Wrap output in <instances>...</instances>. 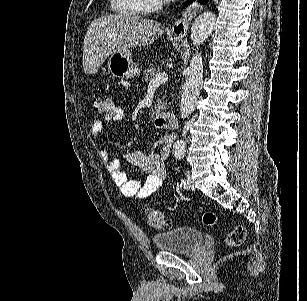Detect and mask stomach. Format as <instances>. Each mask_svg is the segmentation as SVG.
<instances>
[{
	"label": "stomach",
	"instance_id": "1",
	"mask_svg": "<svg viewBox=\"0 0 307 301\" xmlns=\"http://www.w3.org/2000/svg\"><path fill=\"white\" fill-rule=\"evenodd\" d=\"M183 36H174V40H182ZM109 72L115 78H136L139 76L140 68L133 60L132 52L127 48L125 52L117 50L112 52L108 60Z\"/></svg>",
	"mask_w": 307,
	"mask_h": 301
}]
</instances>
